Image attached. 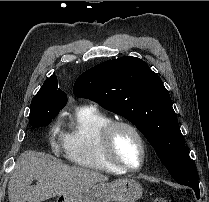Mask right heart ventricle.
<instances>
[{
  "label": "right heart ventricle",
  "mask_w": 209,
  "mask_h": 202,
  "mask_svg": "<svg viewBox=\"0 0 209 202\" xmlns=\"http://www.w3.org/2000/svg\"><path fill=\"white\" fill-rule=\"evenodd\" d=\"M112 119L92 107H84L77 112L75 122L65 133L63 156L77 166L124 173L111 165L101 152L100 138Z\"/></svg>",
  "instance_id": "right-heart-ventricle-1"
}]
</instances>
